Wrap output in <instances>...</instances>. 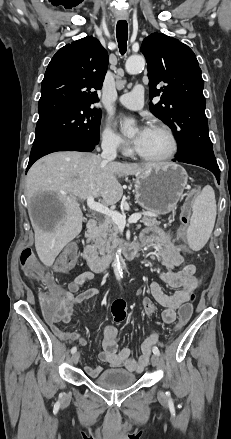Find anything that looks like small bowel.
I'll list each match as a JSON object with an SVG mask.
<instances>
[{
	"label": "small bowel",
	"instance_id": "small-bowel-1",
	"mask_svg": "<svg viewBox=\"0 0 231 439\" xmlns=\"http://www.w3.org/2000/svg\"><path fill=\"white\" fill-rule=\"evenodd\" d=\"M141 240L145 244L158 246L161 262L167 268L166 271L160 273L159 277L165 285L175 289V291L168 293L158 282L151 283L150 291L153 298L165 307L162 313L163 321L168 324L173 323L177 319L179 305L188 302L189 294H195L201 283V280L195 276L196 267L193 264H184L186 246L182 242H176L173 232L151 227L143 231ZM177 267L181 268L174 271L173 269ZM93 279L94 273L85 271L69 282L65 289H60L61 297L55 311V318L54 320H48L53 333L60 339L79 340L82 345H86V339L80 333L62 331L57 325L60 322L69 323L78 304L99 294L97 288H90L77 293L83 284ZM140 310L144 315H152L156 311V306L149 298L144 297L140 302ZM117 334L118 330L114 325L102 324L100 326L99 337L102 351L99 354V359L111 367L123 366L129 371L141 372L148 365L151 347L157 343L158 335L151 333L141 344V355L134 358L130 348L118 349ZM102 370L103 367L99 365H87L85 367V371L91 377L98 376Z\"/></svg>",
	"mask_w": 231,
	"mask_h": 439
}]
</instances>
